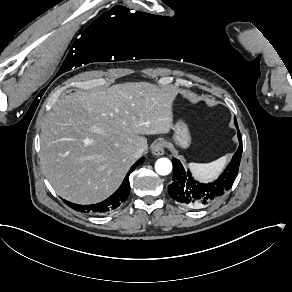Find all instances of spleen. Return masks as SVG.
I'll use <instances>...</instances> for the list:
<instances>
[{"mask_svg": "<svg viewBox=\"0 0 292 292\" xmlns=\"http://www.w3.org/2000/svg\"><path fill=\"white\" fill-rule=\"evenodd\" d=\"M228 160V156H223L211 163H189V168L195 177L200 182H208L216 179L223 171Z\"/></svg>", "mask_w": 292, "mask_h": 292, "instance_id": "spleen-1", "label": "spleen"}]
</instances>
